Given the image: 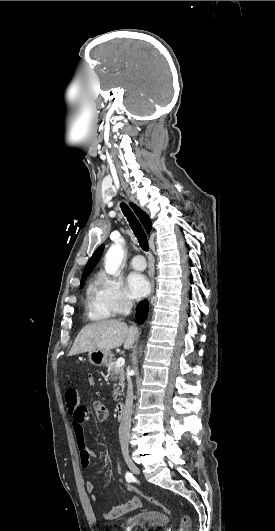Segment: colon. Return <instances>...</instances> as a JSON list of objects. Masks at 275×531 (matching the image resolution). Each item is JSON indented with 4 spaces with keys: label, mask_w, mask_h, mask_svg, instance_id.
I'll return each instance as SVG.
<instances>
[{
    "label": "colon",
    "mask_w": 275,
    "mask_h": 531,
    "mask_svg": "<svg viewBox=\"0 0 275 531\" xmlns=\"http://www.w3.org/2000/svg\"><path fill=\"white\" fill-rule=\"evenodd\" d=\"M95 413H96V416L99 420H105L107 419V416H108V410L105 406V404H103L102 402H96L95 403ZM127 486H131L130 484H127ZM133 491H135V494L137 496H140L142 494V491L140 489H137L136 487H133ZM141 498L144 499L145 501H147L148 503H150L151 505H154V506H161L163 509L166 510V507H164L160 501H158L157 499L151 497V496H148L146 494H142L141 495ZM193 530V527H192V521L191 519L188 517V516H183L181 518V521H180V528H179V531H192Z\"/></svg>",
    "instance_id": "obj_1"
}]
</instances>
